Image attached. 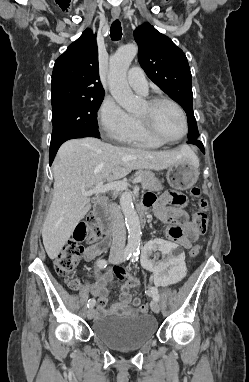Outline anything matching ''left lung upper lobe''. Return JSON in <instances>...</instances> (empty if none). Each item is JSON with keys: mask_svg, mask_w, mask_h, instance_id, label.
Wrapping results in <instances>:
<instances>
[{"mask_svg": "<svg viewBox=\"0 0 249 382\" xmlns=\"http://www.w3.org/2000/svg\"><path fill=\"white\" fill-rule=\"evenodd\" d=\"M134 37L139 47L138 61L141 67L187 113L188 140L198 139L192 108L191 72L184 52L149 23L138 27Z\"/></svg>", "mask_w": 249, "mask_h": 382, "instance_id": "1", "label": "left lung upper lobe"}]
</instances>
